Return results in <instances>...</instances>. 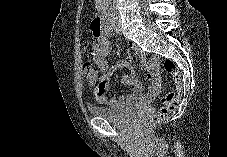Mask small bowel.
I'll return each instance as SVG.
<instances>
[{
	"mask_svg": "<svg viewBox=\"0 0 227 157\" xmlns=\"http://www.w3.org/2000/svg\"><path fill=\"white\" fill-rule=\"evenodd\" d=\"M131 47L138 51V47L136 45L131 44ZM86 51L92 55L94 64L101 72L97 83L93 85L92 88L93 97L98 103L108 104L111 107L118 108L130 105L136 101L152 100L159 93L161 77L157 69L158 60L154 57L150 61L145 62L142 56V61L148 69V77L152 82L148 93L145 95L143 94V86L138 79H135L131 75H124L121 81L124 85L130 86L133 89V93L125 94L120 98H108L106 96V92L109 82L114 76L115 70L107 59L111 52V44L107 35L105 33L97 35L96 42L87 46ZM124 66L129 68L128 63H124Z\"/></svg>",
	"mask_w": 227,
	"mask_h": 157,
	"instance_id": "1",
	"label": "small bowel"
}]
</instances>
